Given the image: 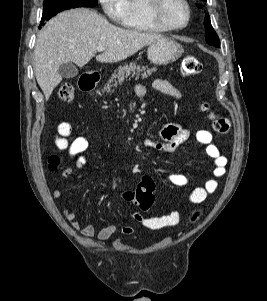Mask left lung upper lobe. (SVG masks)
Wrapping results in <instances>:
<instances>
[{
	"label": "left lung upper lobe",
	"mask_w": 267,
	"mask_h": 301,
	"mask_svg": "<svg viewBox=\"0 0 267 301\" xmlns=\"http://www.w3.org/2000/svg\"><path fill=\"white\" fill-rule=\"evenodd\" d=\"M200 3H203L207 0H198ZM200 7V6H199ZM204 27L206 28L205 30V38L206 42L210 45L219 47V37L214 31L211 22H210V16L208 14L205 15L204 19Z\"/></svg>",
	"instance_id": "obj_1"
}]
</instances>
